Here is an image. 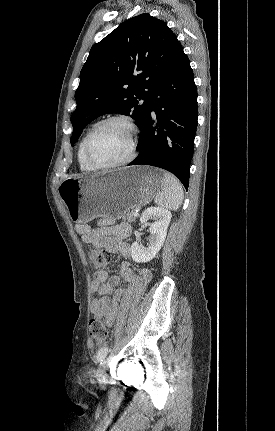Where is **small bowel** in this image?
Returning a JSON list of instances; mask_svg holds the SVG:
<instances>
[{"mask_svg":"<svg viewBox=\"0 0 275 431\" xmlns=\"http://www.w3.org/2000/svg\"><path fill=\"white\" fill-rule=\"evenodd\" d=\"M76 232L82 241L93 245L95 248H103L111 253H120L125 259L120 266L119 275L108 276L105 272H97L91 284L92 293L98 297L93 298L90 306L94 318L102 320L108 327L114 325L122 309V301L127 292L124 289H115L121 279L127 282L135 280V272L128 259L131 255V247L125 241L130 234V226L125 223L112 224L102 222L96 227L89 224L78 223ZM141 274L147 276L145 271Z\"/></svg>","mask_w":275,"mask_h":431,"instance_id":"c3829d8e","label":"small bowel"}]
</instances>
